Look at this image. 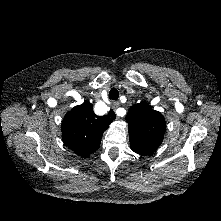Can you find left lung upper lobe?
Wrapping results in <instances>:
<instances>
[{
  "label": "left lung upper lobe",
  "mask_w": 221,
  "mask_h": 221,
  "mask_svg": "<svg viewBox=\"0 0 221 221\" xmlns=\"http://www.w3.org/2000/svg\"><path fill=\"white\" fill-rule=\"evenodd\" d=\"M131 149L142 156L152 154L162 143L166 124L162 114L141 102L133 105L127 116Z\"/></svg>",
  "instance_id": "5c2ea615"
}]
</instances>
